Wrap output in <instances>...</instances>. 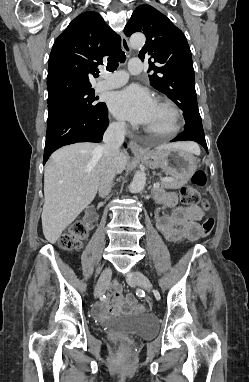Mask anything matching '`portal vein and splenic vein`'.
<instances>
[{"mask_svg":"<svg viewBox=\"0 0 249 382\" xmlns=\"http://www.w3.org/2000/svg\"><path fill=\"white\" fill-rule=\"evenodd\" d=\"M160 180H161V181H168V180H171V178H161ZM159 185H160V184L157 182V183H155V184L153 185V187H154V188H158Z\"/></svg>","mask_w":249,"mask_h":382,"instance_id":"obj_1","label":"portal vein and splenic vein"}]
</instances>
